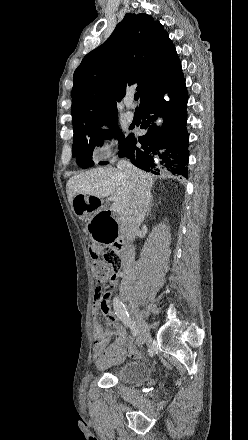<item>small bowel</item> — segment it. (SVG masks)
<instances>
[{
    "label": "small bowel",
    "instance_id": "small-bowel-1",
    "mask_svg": "<svg viewBox=\"0 0 248 440\" xmlns=\"http://www.w3.org/2000/svg\"><path fill=\"white\" fill-rule=\"evenodd\" d=\"M114 270L115 271L111 272L112 277L109 279L112 287L117 283V272H121L122 268L116 267ZM101 290L106 296V299L94 298L92 305L93 361L98 368L104 369L114 363L122 361L126 355H134V353L128 349H123L128 343L127 331L125 327L118 322L115 313L111 309V293L104 292L102 288ZM98 311L103 313L107 322L113 327V330L103 328L96 320ZM113 336H115V341L109 344Z\"/></svg>",
    "mask_w": 248,
    "mask_h": 440
}]
</instances>
